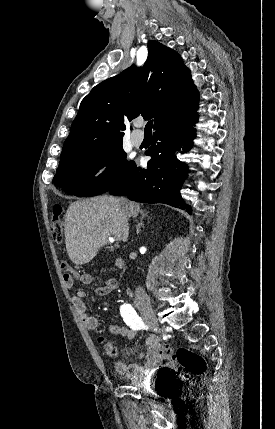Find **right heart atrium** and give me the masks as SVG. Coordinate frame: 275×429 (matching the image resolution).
Returning <instances> with one entry per match:
<instances>
[{
    "label": "right heart atrium",
    "instance_id": "right-heart-atrium-1",
    "mask_svg": "<svg viewBox=\"0 0 275 429\" xmlns=\"http://www.w3.org/2000/svg\"><path fill=\"white\" fill-rule=\"evenodd\" d=\"M108 168H109V163H107V162H103V163L99 164L97 169H96V175L104 174Z\"/></svg>",
    "mask_w": 275,
    "mask_h": 429
}]
</instances>
